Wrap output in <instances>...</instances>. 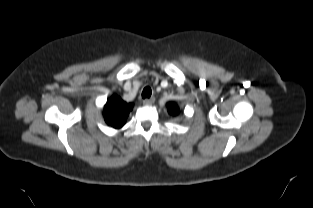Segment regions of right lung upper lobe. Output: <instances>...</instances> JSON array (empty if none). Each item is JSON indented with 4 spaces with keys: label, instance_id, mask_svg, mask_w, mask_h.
Here are the masks:
<instances>
[{
    "label": "right lung upper lobe",
    "instance_id": "1",
    "mask_svg": "<svg viewBox=\"0 0 313 208\" xmlns=\"http://www.w3.org/2000/svg\"><path fill=\"white\" fill-rule=\"evenodd\" d=\"M133 103L123 101L119 96L113 95L105 104L103 115L105 122L115 128H121L125 123Z\"/></svg>",
    "mask_w": 313,
    "mask_h": 208
}]
</instances>
